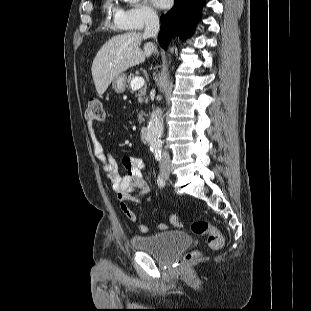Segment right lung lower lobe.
<instances>
[{
  "label": "right lung lower lobe",
  "instance_id": "98d812e1",
  "mask_svg": "<svg viewBox=\"0 0 311 311\" xmlns=\"http://www.w3.org/2000/svg\"><path fill=\"white\" fill-rule=\"evenodd\" d=\"M173 8L161 16V31L158 35L160 45L166 49L170 39L176 33L189 36L200 17L205 0H174Z\"/></svg>",
  "mask_w": 311,
  "mask_h": 311
}]
</instances>
